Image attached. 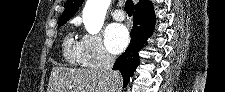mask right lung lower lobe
<instances>
[{"label": "right lung lower lobe", "mask_w": 225, "mask_h": 92, "mask_svg": "<svg viewBox=\"0 0 225 92\" xmlns=\"http://www.w3.org/2000/svg\"><path fill=\"white\" fill-rule=\"evenodd\" d=\"M154 23L155 16L153 12L148 14L134 13L130 44L125 53L116 60L113 66L114 70L121 72L124 86L128 84L130 77L133 76L139 65L138 52L147 44V38L152 35Z\"/></svg>", "instance_id": "98d812e1"}]
</instances>
